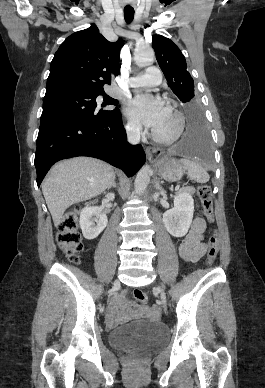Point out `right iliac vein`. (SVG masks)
Wrapping results in <instances>:
<instances>
[{"mask_svg":"<svg viewBox=\"0 0 265 388\" xmlns=\"http://www.w3.org/2000/svg\"><path fill=\"white\" fill-rule=\"evenodd\" d=\"M118 283V281H115V284H117Z\"/></svg>","mask_w":265,"mask_h":388,"instance_id":"1","label":"right iliac vein"}]
</instances>
